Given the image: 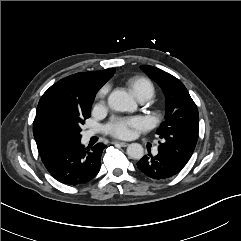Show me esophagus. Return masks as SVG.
<instances>
[{
  "label": "esophagus",
  "mask_w": 241,
  "mask_h": 241,
  "mask_svg": "<svg viewBox=\"0 0 241 241\" xmlns=\"http://www.w3.org/2000/svg\"><path fill=\"white\" fill-rule=\"evenodd\" d=\"M116 143H118L121 147H127L128 146V143H126V142H116Z\"/></svg>",
  "instance_id": "34e87169"
}]
</instances>
